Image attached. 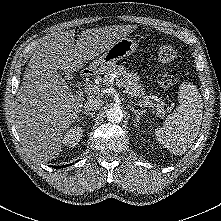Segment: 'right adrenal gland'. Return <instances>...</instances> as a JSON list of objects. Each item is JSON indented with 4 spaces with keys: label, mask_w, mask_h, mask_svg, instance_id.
<instances>
[{
    "label": "right adrenal gland",
    "mask_w": 221,
    "mask_h": 221,
    "mask_svg": "<svg viewBox=\"0 0 221 221\" xmlns=\"http://www.w3.org/2000/svg\"><path fill=\"white\" fill-rule=\"evenodd\" d=\"M82 114H85V115H87V116H93L95 113L83 111Z\"/></svg>",
    "instance_id": "obj_1"
}]
</instances>
